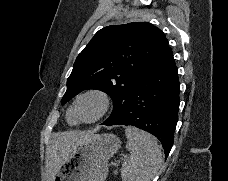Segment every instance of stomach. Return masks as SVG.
<instances>
[{
    "mask_svg": "<svg viewBox=\"0 0 228 181\" xmlns=\"http://www.w3.org/2000/svg\"><path fill=\"white\" fill-rule=\"evenodd\" d=\"M120 145L118 137L107 133L94 135L84 145H75L54 181H106L109 159Z\"/></svg>",
    "mask_w": 228,
    "mask_h": 181,
    "instance_id": "1",
    "label": "stomach"
}]
</instances>
